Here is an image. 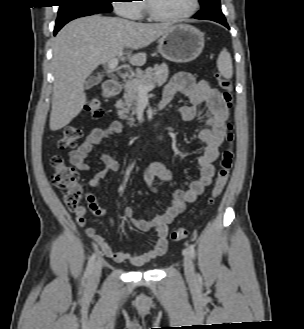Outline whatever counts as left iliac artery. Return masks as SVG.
Masks as SVG:
<instances>
[{
  "label": "left iliac artery",
  "instance_id": "44dca946",
  "mask_svg": "<svg viewBox=\"0 0 304 329\" xmlns=\"http://www.w3.org/2000/svg\"><path fill=\"white\" fill-rule=\"evenodd\" d=\"M188 250H189L190 256L193 259H195L196 252H195V248H194V246L192 244L189 245Z\"/></svg>",
  "mask_w": 304,
  "mask_h": 329
}]
</instances>
